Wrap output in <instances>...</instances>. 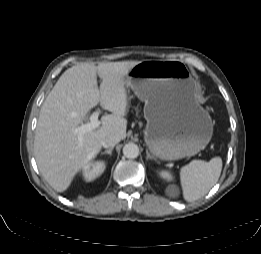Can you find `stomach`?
<instances>
[{
	"mask_svg": "<svg viewBox=\"0 0 261 254\" xmlns=\"http://www.w3.org/2000/svg\"><path fill=\"white\" fill-rule=\"evenodd\" d=\"M145 102V143L154 157L177 160L203 150L213 134L210 115L197 102L199 86L178 60H148L125 76Z\"/></svg>",
	"mask_w": 261,
	"mask_h": 254,
	"instance_id": "1",
	"label": "stomach"
}]
</instances>
